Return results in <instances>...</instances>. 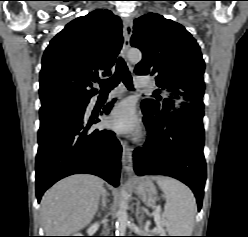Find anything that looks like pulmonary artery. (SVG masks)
Wrapping results in <instances>:
<instances>
[{
    "mask_svg": "<svg viewBox=\"0 0 248 237\" xmlns=\"http://www.w3.org/2000/svg\"><path fill=\"white\" fill-rule=\"evenodd\" d=\"M150 82L146 78L137 77L135 78V86L137 88H147L149 87Z\"/></svg>",
    "mask_w": 248,
    "mask_h": 237,
    "instance_id": "1",
    "label": "pulmonary artery"
}]
</instances>
